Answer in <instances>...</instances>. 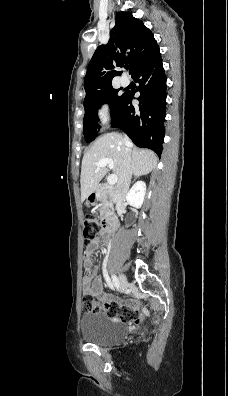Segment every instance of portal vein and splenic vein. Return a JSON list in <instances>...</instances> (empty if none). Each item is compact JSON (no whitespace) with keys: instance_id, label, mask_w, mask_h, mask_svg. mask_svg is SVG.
<instances>
[{"instance_id":"18ae733b","label":"portal vein and splenic vein","mask_w":228,"mask_h":396,"mask_svg":"<svg viewBox=\"0 0 228 396\" xmlns=\"http://www.w3.org/2000/svg\"><path fill=\"white\" fill-rule=\"evenodd\" d=\"M107 165L109 166L110 169H112V168L114 167L113 160H112V159H109V158H104V159L99 160V161L96 163V166H97V167H105V166H107ZM117 180H118V178H117V176H116L115 174H111V175H109L108 178H107V182H108V184H110V185L116 184V183H117Z\"/></svg>"}]
</instances>
